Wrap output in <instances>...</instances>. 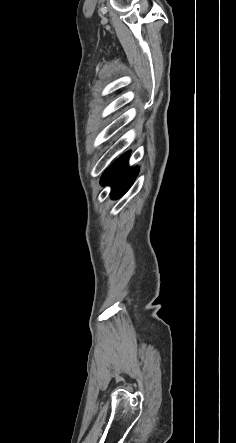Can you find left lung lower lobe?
Listing matches in <instances>:
<instances>
[{
	"instance_id": "obj_1",
	"label": "left lung lower lobe",
	"mask_w": 236,
	"mask_h": 443,
	"mask_svg": "<svg viewBox=\"0 0 236 443\" xmlns=\"http://www.w3.org/2000/svg\"><path fill=\"white\" fill-rule=\"evenodd\" d=\"M130 152L120 156L109 168L105 170L101 177V184H110L112 187L111 197L117 199L121 197L133 184L139 169L129 168L127 160Z\"/></svg>"
}]
</instances>
